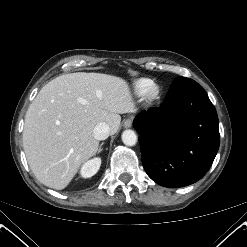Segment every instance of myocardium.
Segmentation results:
<instances>
[{"label": "myocardium", "mask_w": 247, "mask_h": 247, "mask_svg": "<svg viewBox=\"0 0 247 247\" xmlns=\"http://www.w3.org/2000/svg\"><path fill=\"white\" fill-rule=\"evenodd\" d=\"M160 94V89L156 84H152L149 88L145 91V100L147 102H153L158 98Z\"/></svg>", "instance_id": "f54148a6"}]
</instances>
